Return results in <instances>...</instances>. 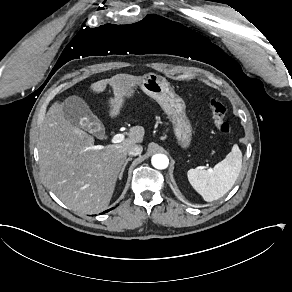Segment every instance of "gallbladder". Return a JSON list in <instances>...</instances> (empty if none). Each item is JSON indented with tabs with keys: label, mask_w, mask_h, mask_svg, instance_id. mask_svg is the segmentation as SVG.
Returning a JSON list of instances; mask_svg holds the SVG:
<instances>
[{
	"label": "gallbladder",
	"mask_w": 292,
	"mask_h": 292,
	"mask_svg": "<svg viewBox=\"0 0 292 292\" xmlns=\"http://www.w3.org/2000/svg\"><path fill=\"white\" fill-rule=\"evenodd\" d=\"M62 110L66 118L78 127L88 130L90 123L98 122V117L93 114L90 107L79 96H69L62 104ZM105 131L102 133H96L97 138H103Z\"/></svg>",
	"instance_id": "bac80fb5"
}]
</instances>
